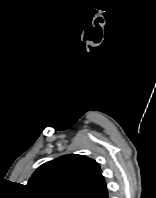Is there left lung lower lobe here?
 Here are the masks:
<instances>
[{"label": "left lung lower lobe", "instance_id": "obj_1", "mask_svg": "<svg viewBox=\"0 0 156 198\" xmlns=\"http://www.w3.org/2000/svg\"><path fill=\"white\" fill-rule=\"evenodd\" d=\"M97 198H108V191L106 190L102 194H100Z\"/></svg>", "mask_w": 156, "mask_h": 198}]
</instances>
